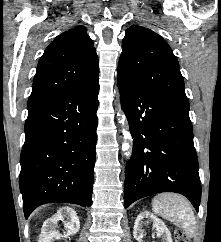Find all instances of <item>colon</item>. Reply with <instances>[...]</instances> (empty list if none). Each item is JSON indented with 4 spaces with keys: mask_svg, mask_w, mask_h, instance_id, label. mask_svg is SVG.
I'll list each match as a JSON object with an SVG mask.
<instances>
[{
    "mask_svg": "<svg viewBox=\"0 0 221 242\" xmlns=\"http://www.w3.org/2000/svg\"><path fill=\"white\" fill-rule=\"evenodd\" d=\"M175 242H189V239L183 231L177 230L175 232Z\"/></svg>",
    "mask_w": 221,
    "mask_h": 242,
    "instance_id": "1",
    "label": "colon"
}]
</instances>
